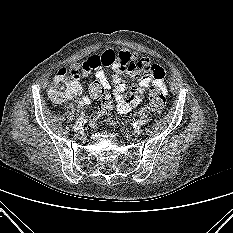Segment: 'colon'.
<instances>
[{
  "mask_svg": "<svg viewBox=\"0 0 233 233\" xmlns=\"http://www.w3.org/2000/svg\"><path fill=\"white\" fill-rule=\"evenodd\" d=\"M70 81L66 72H58L48 90L50 98L55 102L65 101L71 95ZM89 94L93 99L100 101L99 108L91 120L94 122L100 115L113 108V101L107 89L97 81L89 85ZM149 104L154 111H162L166 105L164 92L154 87L150 92Z\"/></svg>",
  "mask_w": 233,
  "mask_h": 233,
  "instance_id": "5ec220e1",
  "label": "colon"
}]
</instances>
